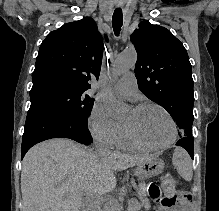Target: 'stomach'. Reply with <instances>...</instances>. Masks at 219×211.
I'll return each mask as SVG.
<instances>
[{"label": "stomach", "instance_id": "1", "mask_svg": "<svg viewBox=\"0 0 219 211\" xmlns=\"http://www.w3.org/2000/svg\"><path fill=\"white\" fill-rule=\"evenodd\" d=\"M164 161L158 157H152L148 161L137 165L135 175L141 185L150 177L161 174L164 170Z\"/></svg>", "mask_w": 219, "mask_h": 211}]
</instances>
